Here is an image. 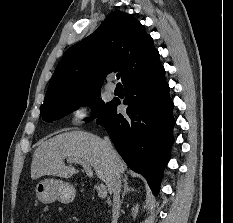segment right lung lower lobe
<instances>
[{"instance_id": "98d812e1", "label": "right lung lower lobe", "mask_w": 233, "mask_h": 223, "mask_svg": "<svg viewBox=\"0 0 233 223\" xmlns=\"http://www.w3.org/2000/svg\"><path fill=\"white\" fill-rule=\"evenodd\" d=\"M126 114L117 113L120 101L113 100L97 116L126 164L142 174L156 194L174 142L173 102L164 67L155 66L124 83Z\"/></svg>"}]
</instances>
